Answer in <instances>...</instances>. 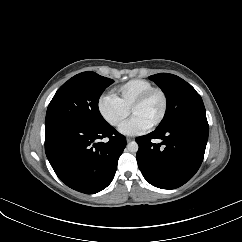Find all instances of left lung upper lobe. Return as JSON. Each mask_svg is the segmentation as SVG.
I'll return each instance as SVG.
<instances>
[{"instance_id": "5c2ea615", "label": "left lung upper lobe", "mask_w": 242, "mask_h": 242, "mask_svg": "<svg viewBox=\"0 0 242 242\" xmlns=\"http://www.w3.org/2000/svg\"><path fill=\"white\" fill-rule=\"evenodd\" d=\"M167 97L166 113L157 129L166 128L192 116H206L205 107L196 90L180 77L159 73L149 77Z\"/></svg>"}]
</instances>
